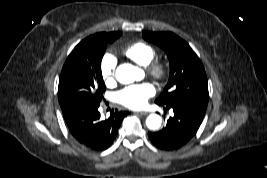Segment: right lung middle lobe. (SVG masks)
I'll return each mask as SVG.
<instances>
[{
	"label": "right lung middle lobe",
	"mask_w": 267,
	"mask_h": 178,
	"mask_svg": "<svg viewBox=\"0 0 267 178\" xmlns=\"http://www.w3.org/2000/svg\"><path fill=\"white\" fill-rule=\"evenodd\" d=\"M121 33L111 36L91 35L82 40L68 56L60 75L58 100L60 105L82 100L100 104L106 86L101 73V60L108 43Z\"/></svg>",
	"instance_id": "1"
}]
</instances>
